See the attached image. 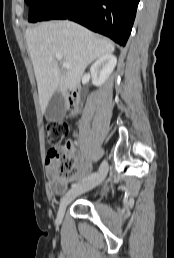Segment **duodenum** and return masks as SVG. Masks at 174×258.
Segmentation results:
<instances>
[{"instance_id": "410a0bca", "label": "duodenum", "mask_w": 174, "mask_h": 258, "mask_svg": "<svg viewBox=\"0 0 174 258\" xmlns=\"http://www.w3.org/2000/svg\"><path fill=\"white\" fill-rule=\"evenodd\" d=\"M67 105L71 115H75L79 109V97L76 90H71L67 98Z\"/></svg>"}]
</instances>
